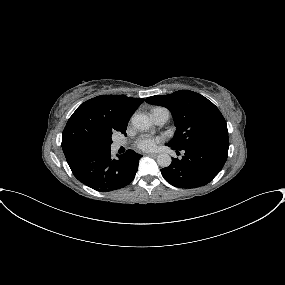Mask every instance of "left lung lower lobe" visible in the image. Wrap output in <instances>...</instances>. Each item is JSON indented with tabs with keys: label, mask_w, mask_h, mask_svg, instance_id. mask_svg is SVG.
<instances>
[{
	"label": "left lung lower lobe",
	"mask_w": 285,
	"mask_h": 285,
	"mask_svg": "<svg viewBox=\"0 0 285 285\" xmlns=\"http://www.w3.org/2000/svg\"><path fill=\"white\" fill-rule=\"evenodd\" d=\"M182 151V159L174 158L171 165L161 169L164 179L179 188H197L208 184L221 171L228 157V150L215 146H197Z\"/></svg>",
	"instance_id": "1"
}]
</instances>
